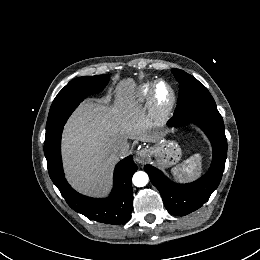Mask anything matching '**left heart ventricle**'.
I'll return each instance as SVG.
<instances>
[{"instance_id":"left-heart-ventricle-1","label":"left heart ventricle","mask_w":260,"mask_h":260,"mask_svg":"<svg viewBox=\"0 0 260 260\" xmlns=\"http://www.w3.org/2000/svg\"><path fill=\"white\" fill-rule=\"evenodd\" d=\"M157 99L162 106H165L170 101V92L163 84L158 87Z\"/></svg>"}]
</instances>
